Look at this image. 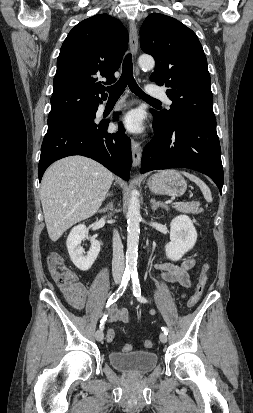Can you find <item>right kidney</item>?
Here are the masks:
<instances>
[{
	"mask_svg": "<svg viewBox=\"0 0 253 413\" xmlns=\"http://www.w3.org/2000/svg\"><path fill=\"white\" fill-rule=\"evenodd\" d=\"M88 238L86 226L80 224L75 226L67 238V249L73 264L81 271H87L91 268L100 252V243L95 237H90L91 248L84 255V249L81 246V241Z\"/></svg>",
	"mask_w": 253,
	"mask_h": 413,
	"instance_id": "right-kidney-1",
	"label": "right kidney"
}]
</instances>
